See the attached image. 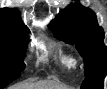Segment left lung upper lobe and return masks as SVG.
<instances>
[{
    "mask_svg": "<svg viewBox=\"0 0 107 89\" xmlns=\"http://www.w3.org/2000/svg\"><path fill=\"white\" fill-rule=\"evenodd\" d=\"M49 28L56 38L75 44L83 57L85 79L81 89H101L107 72V48L95 13L76 3L62 10Z\"/></svg>",
    "mask_w": 107,
    "mask_h": 89,
    "instance_id": "obj_1",
    "label": "left lung upper lobe"
}]
</instances>
